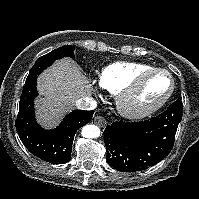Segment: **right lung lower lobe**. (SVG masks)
I'll list each match as a JSON object with an SVG mask.
<instances>
[{
  "mask_svg": "<svg viewBox=\"0 0 199 199\" xmlns=\"http://www.w3.org/2000/svg\"><path fill=\"white\" fill-rule=\"evenodd\" d=\"M52 64L46 62L31 68L20 97L15 125L30 153L52 164H64L70 160L76 131L91 121L94 111L75 110L53 130H44L37 124L34 114V98L38 95L37 77Z\"/></svg>",
  "mask_w": 199,
  "mask_h": 199,
  "instance_id": "right-lung-lower-lobe-1",
  "label": "right lung lower lobe"
}]
</instances>
